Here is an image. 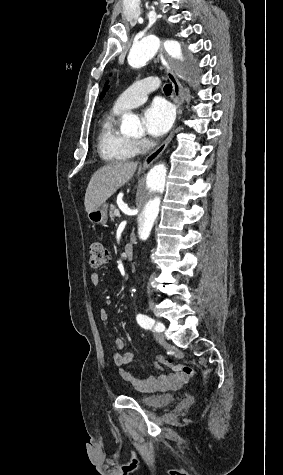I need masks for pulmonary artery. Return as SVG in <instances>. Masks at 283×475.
<instances>
[{"mask_svg": "<svg viewBox=\"0 0 283 475\" xmlns=\"http://www.w3.org/2000/svg\"><path fill=\"white\" fill-rule=\"evenodd\" d=\"M161 82L156 80H136L114 102V107L119 110L133 108L146 100L152 89L160 88Z\"/></svg>", "mask_w": 283, "mask_h": 475, "instance_id": "obj_1", "label": "pulmonary artery"}]
</instances>
